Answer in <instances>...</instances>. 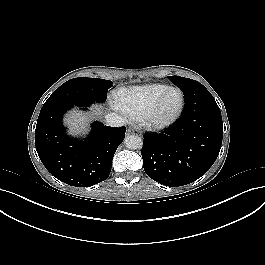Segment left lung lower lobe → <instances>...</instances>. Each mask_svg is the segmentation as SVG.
Returning <instances> with one entry per match:
<instances>
[{"label":"left lung lower lobe","mask_w":265,"mask_h":265,"mask_svg":"<svg viewBox=\"0 0 265 265\" xmlns=\"http://www.w3.org/2000/svg\"><path fill=\"white\" fill-rule=\"evenodd\" d=\"M184 111L162 133H145L143 167L154 181L169 187L187 185L203 176L215 162L222 144L220 109L204 102L198 84L183 87Z\"/></svg>","instance_id":"1"}]
</instances>
